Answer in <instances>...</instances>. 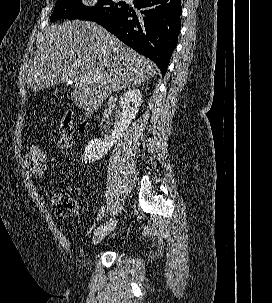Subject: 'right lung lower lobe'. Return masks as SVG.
I'll return each instance as SVG.
<instances>
[{
    "label": "right lung lower lobe",
    "instance_id": "98d812e1",
    "mask_svg": "<svg viewBox=\"0 0 272 303\" xmlns=\"http://www.w3.org/2000/svg\"><path fill=\"white\" fill-rule=\"evenodd\" d=\"M134 5L140 14L126 5L117 15L96 22L154 61L164 76L181 29V0H137Z\"/></svg>",
    "mask_w": 272,
    "mask_h": 303
}]
</instances>
